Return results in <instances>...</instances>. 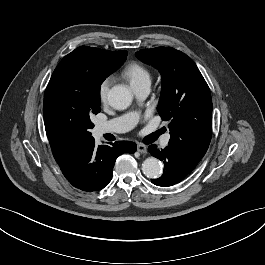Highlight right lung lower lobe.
I'll return each instance as SVG.
<instances>
[{
  "instance_id": "right-lung-lower-lobe-1",
  "label": "right lung lower lobe",
  "mask_w": 265,
  "mask_h": 265,
  "mask_svg": "<svg viewBox=\"0 0 265 265\" xmlns=\"http://www.w3.org/2000/svg\"><path fill=\"white\" fill-rule=\"evenodd\" d=\"M136 149V144L129 141L111 143V146H95L91 136L67 156L56 161L72 186L92 192L104 188L111 181L118 156L125 152L134 153Z\"/></svg>"
}]
</instances>
